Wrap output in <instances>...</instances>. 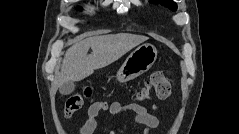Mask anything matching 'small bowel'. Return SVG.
<instances>
[{"label":"small bowel","mask_w":239,"mask_h":134,"mask_svg":"<svg viewBox=\"0 0 239 134\" xmlns=\"http://www.w3.org/2000/svg\"><path fill=\"white\" fill-rule=\"evenodd\" d=\"M152 109L156 111L158 107L153 105ZM101 112H109L113 117H118L125 112L133 113V123L146 127L144 134H149L159 125L157 115L138 103L122 105L117 101L111 103L96 101L88 108V118L80 127L79 134H97V117Z\"/></svg>","instance_id":"obj_1"}]
</instances>
